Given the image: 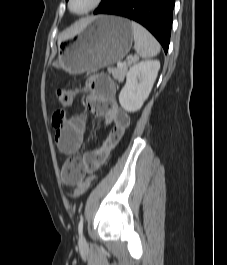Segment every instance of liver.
Returning a JSON list of instances; mask_svg holds the SVG:
<instances>
[{
  "instance_id": "1",
  "label": "liver",
  "mask_w": 227,
  "mask_h": 265,
  "mask_svg": "<svg viewBox=\"0 0 227 265\" xmlns=\"http://www.w3.org/2000/svg\"><path fill=\"white\" fill-rule=\"evenodd\" d=\"M84 28V23L76 24L69 29H66L63 31L58 39V44L62 42L63 40L73 38L77 33H79Z\"/></svg>"
}]
</instances>
